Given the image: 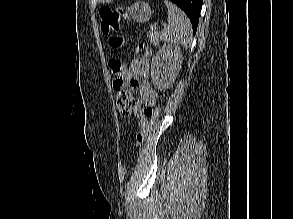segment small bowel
<instances>
[{
    "label": "small bowel",
    "instance_id": "c3829d8e",
    "mask_svg": "<svg viewBox=\"0 0 293 219\" xmlns=\"http://www.w3.org/2000/svg\"><path fill=\"white\" fill-rule=\"evenodd\" d=\"M150 63L147 54L135 59L132 64L122 72L121 86L114 88L118 94L119 110L124 116L134 115L138 124L144 128L150 121L152 107L158 101V93L147 81ZM132 90H138L140 98H135Z\"/></svg>",
    "mask_w": 293,
    "mask_h": 219
}]
</instances>
